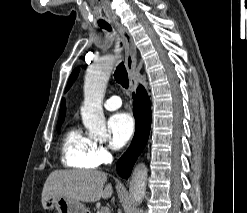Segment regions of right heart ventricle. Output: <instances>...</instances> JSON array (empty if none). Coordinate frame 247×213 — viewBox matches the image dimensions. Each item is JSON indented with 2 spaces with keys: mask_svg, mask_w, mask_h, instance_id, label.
I'll use <instances>...</instances> for the list:
<instances>
[{
  "mask_svg": "<svg viewBox=\"0 0 247 213\" xmlns=\"http://www.w3.org/2000/svg\"><path fill=\"white\" fill-rule=\"evenodd\" d=\"M94 141L72 126L63 135L61 156L64 165L73 168L94 169L97 164L93 158Z\"/></svg>",
  "mask_w": 247,
  "mask_h": 213,
  "instance_id": "1",
  "label": "right heart ventricle"
}]
</instances>
